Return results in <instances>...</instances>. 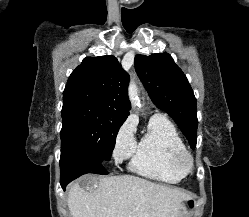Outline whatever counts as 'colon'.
Returning a JSON list of instances; mask_svg holds the SVG:
<instances>
[{
    "mask_svg": "<svg viewBox=\"0 0 249 217\" xmlns=\"http://www.w3.org/2000/svg\"><path fill=\"white\" fill-rule=\"evenodd\" d=\"M189 204L192 205L193 204L192 201H190Z\"/></svg>",
    "mask_w": 249,
    "mask_h": 217,
    "instance_id": "5ec220e1",
    "label": "colon"
}]
</instances>
